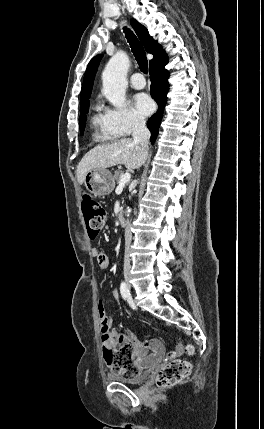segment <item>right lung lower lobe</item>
Masks as SVG:
<instances>
[{
    "label": "right lung lower lobe",
    "instance_id": "98d812e1",
    "mask_svg": "<svg viewBox=\"0 0 264 429\" xmlns=\"http://www.w3.org/2000/svg\"><path fill=\"white\" fill-rule=\"evenodd\" d=\"M168 63V56L164 52L157 60L149 66L151 79V95L158 104V110L153 114L147 123V127L151 131L150 141L153 144L158 135L159 126L163 116V109L166 104L167 92L169 90L168 77L169 73L165 69Z\"/></svg>",
    "mask_w": 264,
    "mask_h": 429
}]
</instances>
